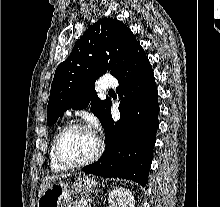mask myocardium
<instances>
[{
	"instance_id": "1",
	"label": "myocardium",
	"mask_w": 220,
	"mask_h": 207,
	"mask_svg": "<svg viewBox=\"0 0 220 207\" xmlns=\"http://www.w3.org/2000/svg\"><path fill=\"white\" fill-rule=\"evenodd\" d=\"M87 130L90 131L94 134L96 141H97V148L95 150V152L93 153V155L91 157H89L88 159L81 161V162H76V163H70L65 161L61 154H60V141L62 139V137L72 131V130ZM104 150V143L101 140V138L95 134V132H93L87 125L82 124V123H71L65 127H63L58 134L56 135L54 141H53V153H54V158L57 161L58 164H60L62 167L66 168V169H74V168H80V167H84L86 165H89L93 162H95L102 154Z\"/></svg>"
}]
</instances>
